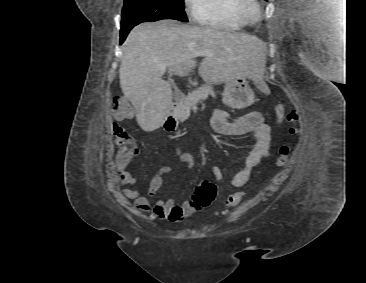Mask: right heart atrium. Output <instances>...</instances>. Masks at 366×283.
<instances>
[{
  "label": "right heart atrium",
  "mask_w": 366,
  "mask_h": 283,
  "mask_svg": "<svg viewBox=\"0 0 366 283\" xmlns=\"http://www.w3.org/2000/svg\"><path fill=\"white\" fill-rule=\"evenodd\" d=\"M205 0H183L187 13L195 20H200L204 9Z\"/></svg>",
  "instance_id": "d8ad5b80"
}]
</instances>
